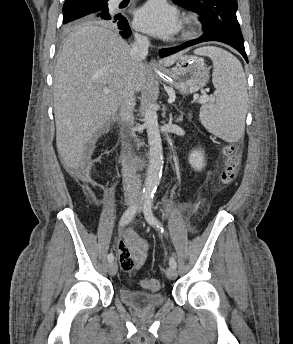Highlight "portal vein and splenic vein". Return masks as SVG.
I'll return each instance as SVG.
<instances>
[{"label":"portal vein and splenic vein","instance_id":"18ae733b","mask_svg":"<svg viewBox=\"0 0 293 344\" xmlns=\"http://www.w3.org/2000/svg\"><path fill=\"white\" fill-rule=\"evenodd\" d=\"M104 93L108 94V93H109V90L105 89V90H104ZM198 98H199L198 95H195V96H194V99H198ZM173 99H174V95H171L170 100L172 101ZM210 99H211V98H210L208 95L204 94V95H202V96L199 98V102H200V103H205V102H207V101L210 100Z\"/></svg>","mask_w":293,"mask_h":344}]
</instances>
